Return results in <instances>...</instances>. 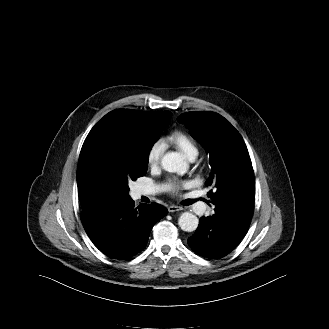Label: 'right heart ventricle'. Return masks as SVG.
<instances>
[{"instance_id":"right-heart-ventricle-1","label":"right heart ventricle","mask_w":329,"mask_h":329,"mask_svg":"<svg viewBox=\"0 0 329 329\" xmlns=\"http://www.w3.org/2000/svg\"><path fill=\"white\" fill-rule=\"evenodd\" d=\"M167 141L181 150L189 159L198 154V148L194 140L182 131H174L168 137Z\"/></svg>"}]
</instances>
